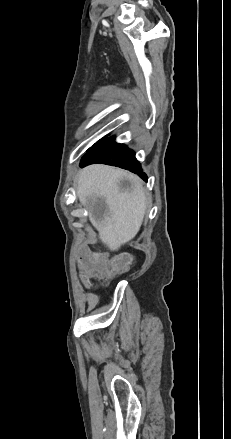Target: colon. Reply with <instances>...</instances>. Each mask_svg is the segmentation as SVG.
Here are the masks:
<instances>
[{"label": "colon", "mask_w": 231, "mask_h": 439, "mask_svg": "<svg viewBox=\"0 0 231 439\" xmlns=\"http://www.w3.org/2000/svg\"><path fill=\"white\" fill-rule=\"evenodd\" d=\"M81 255L85 256L80 260V267L84 268L87 274L97 278H107L126 270L128 262L123 259H109L101 254L92 253L90 246L82 247ZM83 284L89 283L88 277L82 278Z\"/></svg>", "instance_id": "obj_1"}]
</instances>
